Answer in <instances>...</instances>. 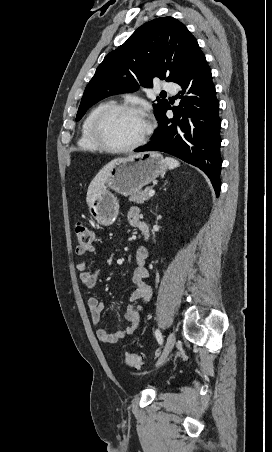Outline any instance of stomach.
Returning a JSON list of instances; mask_svg holds the SVG:
<instances>
[{
    "mask_svg": "<svg viewBox=\"0 0 272 452\" xmlns=\"http://www.w3.org/2000/svg\"><path fill=\"white\" fill-rule=\"evenodd\" d=\"M166 170V161L156 152L131 153L118 158L103 187L88 206L91 217L103 226L113 224L118 216L119 203L110 190L123 196L135 194Z\"/></svg>",
    "mask_w": 272,
    "mask_h": 452,
    "instance_id": "stomach-1",
    "label": "stomach"
}]
</instances>
